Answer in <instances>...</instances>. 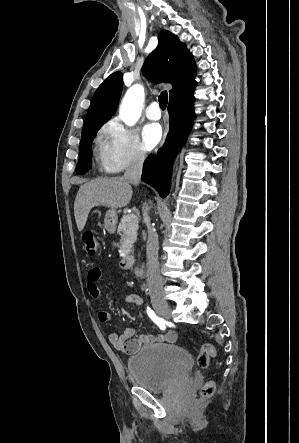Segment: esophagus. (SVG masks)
I'll return each mask as SVG.
<instances>
[{"label":"esophagus","instance_id":"esophagus-1","mask_svg":"<svg viewBox=\"0 0 299 443\" xmlns=\"http://www.w3.org/2000/svg\"><path fill=\"white\" fill-rule=\"evenodd\" d=\"M168 131H169V127H168V124H167L166 127H165V130H164L162 141L160 143V147L163 146V144H164V142H165V140L167 138Z\"/></svg>","mask_w":299,"mask_h":443}]
</instances>
